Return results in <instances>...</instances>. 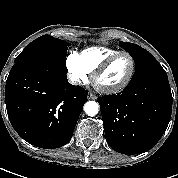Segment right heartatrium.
I'll list each match as a JSON object with an SVG mask.
<instances>
[{"label":"right heart atrium","instance_id":"1","mask_svg":"<svg viewBox=\"0 0 178 178\" xmlns=\"http://www.w3.org/2000/svg\"><path fill=\"white\" fill-rule=\"evenodd\" d=\"M69 77L74 84H84L89 80L88 72L81 65L78 55L71 54L66 61Z\"/></svg>","mask_w":178,"mask_h":178}]
</instances>
